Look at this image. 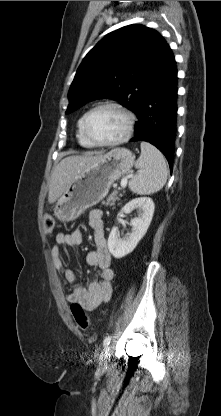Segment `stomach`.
Here are the masks:
<instances>
[{"label":"stomach","mask_w":221,"mask_h":416,"mask_svg":"<svg viewBox=\"0 0 221 416\" xmlns=\"http://www.w3.org/2000/svg\"><path fill=\"white\" fill-rule=\"evenodd\" d=\"M134 159L126 148H115L103 155L74 178L58 199L54 216L63 222L78 218L106 197L111 185L131 169Z\"/></svg>","instance_id":"stomach-1"}]
</instances>
